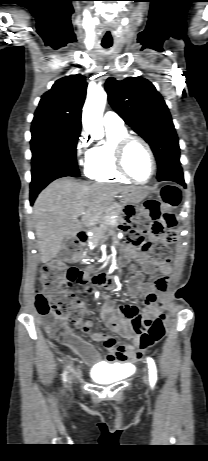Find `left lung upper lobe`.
<instances>
[{
  "mask_svg": "<svg viewBox=\"0 0 208 461\" xmlns=\"http://www.w3.org/2000/svg\"><path fill=\"white\" fill-rule=\"evenodd\" d=\"M108 100L118 115L147 143L158 164L157 178L180 165L178 137L168 107L154 85L142 77L108 78Z\"/></svg>",
  "mask_w": 208,
  "mask_h": 461,
  "instance_id": "obj_1",
  "label": "left lung upper lobe"
}]
</instances>
